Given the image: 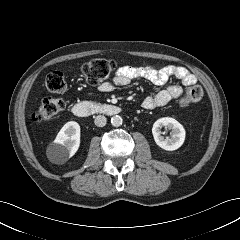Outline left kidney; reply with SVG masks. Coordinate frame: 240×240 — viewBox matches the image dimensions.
I'll list each match as a JSON object with an SVG mask.
<instances>
[{
    "label": "left kidney",
    "mask_w": 240,
    "mask_h": 240,
    "mask_svg": "<svg viewBox=\"0 0 240 240\" xmlns=\"http://www.w3.org/2000/svg\"><path fill=\"white\" fill-rule=\"evenodd\" d=\"M166 127L171 130L172 136L165 139L161 136V128ZM152 134L156 144L164 150L173 151L182 146L185 140V129L182 124L171 117H163L158 119L152 127Z\"/></svg>",
    "instance_id": "obj_1"
}]
</instances>
